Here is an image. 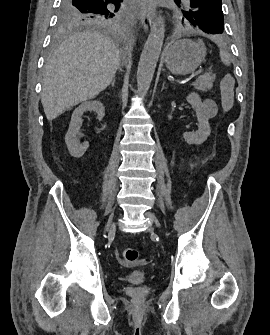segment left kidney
Returning <instances> with one entry per match:
<instances>
[{"label": "left kidney", "mask_w": 270, "mask_h": 335, "mask_svg": "<svg viewBox=\"0 0 270 335\" xmlns=\"http://www.w3.org/2000/svg\"><path fill=\"white\" fill-rule=\"evenodd\" d=\"M187 102L194 108L199 126L197 132H185L183 138L187 144H203V142H206L208 136H210L211 130L208 118L204 114L201 98L193 92V94L187 96Z\"/></svg>", "instance_id": "5707ae66"}]
</instances>
